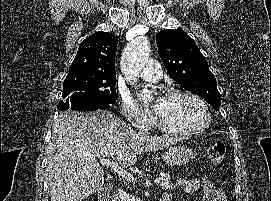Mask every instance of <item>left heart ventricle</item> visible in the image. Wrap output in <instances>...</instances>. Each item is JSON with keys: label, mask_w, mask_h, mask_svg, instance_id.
I'll use <instances>...</instances> for the list:
<instances>
[{"label": "left heart ventricle", "mask_w": 271, "mask_h": 201, "mask_svg": "<svg viewBox=\"0 0 271 201\" xmlns=\"http://www.w3.org/2000/svg\"><path fill=\"white\" fill-rule=\"evenodd\" d=\"M154 111L167 125L179 131L195 129L206 120L200 104L184 96L161 99L154 105Z\"/></svg>", "instance_id": "1"}]
</instances>
